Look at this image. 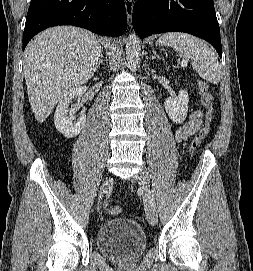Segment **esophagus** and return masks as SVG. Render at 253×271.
Returning <instances> with one entry per match:
<instances>
[{
    "label": "esophagus",
    "instance_id": "obj_1",
    "mask_svg": "<svg viewBox=\"0 0 253 271\" xmlns=\"http://www.w3.org/2000/svg\"><path fill=\"white\" fill-rule=\"evenodd\" d=\"M125 2V10L128 20L130 21L133 14V2L132 0H124Z\"/></svg>",
    "mask_w": 253,
    "mask_h": 271
}]
</instances>
